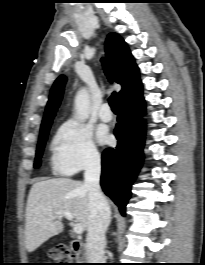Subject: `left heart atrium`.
Returning a JSON list of instances; mask_svg holds the SVG:
<instances>
[{
    "label": "left heart atrium",
    "mask_w": 205,
    "mask_h": 265,
    "mask_svg": "<svg viewBox=\"0 0 205 265\" xmlns=\"http://www.w3.org/2000/svg\"><path fill=\"white\" fill-rule=\"evenodd\" d=\"M99 139L102 142H108L110 140V136L107 133H105V132H101L99 134Z\"/></svg>",
    "instance_id": "1"
}]
</instances>
